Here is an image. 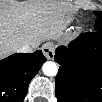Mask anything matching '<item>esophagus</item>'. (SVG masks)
Segmentation results:
<instances>
[{"label": "esophagus", "instance_id": "34e87169", "mask_svg": "<svg viewBox=\"0 0 102 102\" xmlns=\"http://www.w3.org/2000/svg\"><path fill=\"white\" fill-rule=\"evenodd\" d=\"M54 47L50 43H46L42 46V52L44 56L47 58V60H53L54 59Z\"/></svg>", "mask_w": 102, "mask_h": 102}]
</instances>
